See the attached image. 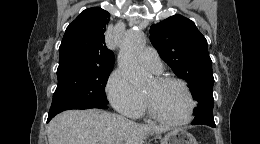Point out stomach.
Here are the masks:
<instances>
[{"label":"stomach","mask_w":260,"mask_h":144,"mask_svg":"<svg viewBox=\"0 0 260 144\" xmlns=\"http://www.w3.org/2000/svg\"><path fill=\"white\" fill-rule=\"evenodd\" d=\"M161 139V144H198L194 136L184 129H173L167 132Z\"/></svg>","instance_id":"obj_1"}]
</instances>
